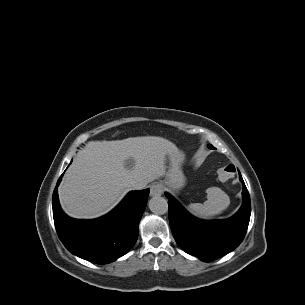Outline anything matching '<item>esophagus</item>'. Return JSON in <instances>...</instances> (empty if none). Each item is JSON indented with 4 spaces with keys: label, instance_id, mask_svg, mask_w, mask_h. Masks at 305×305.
Wrapping results in <instances>:
<instances>
[{
    "label": "esophagus",
    "instance_id": "obj_1",
    "mask_svg": "<svg viewBox=\"0 0 305 305\" xmlns=\"http://www.w3.org/2000/svg\"><path fill=\"white\" fill-rule=\"evenodd\" d=\"M163 192L162 186L158 183H154L150 186V196H160Z\"/></svg>",
    "mask_w": 305,
    "mask_h": 305
}]
</instances>
